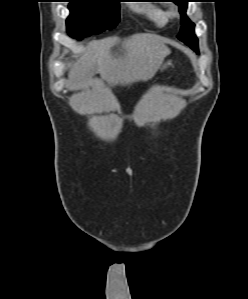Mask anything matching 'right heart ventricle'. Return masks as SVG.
<instances>
[{"label": "right heart ventricle", "instance_id": "right-heart-ventricle-1", "mask_svg": "<svg viewBox=\"0 0 248 299\" xmlns=\"http://www.w3.org/2000/svg\"><path fill=\"white\" fill-rule=\"evenodd\" d=\"M138 11L158 27L165 26L169 21V15L167 11L159 5H145L138 8Z\"/></svg>", "mask_w": 248, "mask_h": 299}]
</instances>
